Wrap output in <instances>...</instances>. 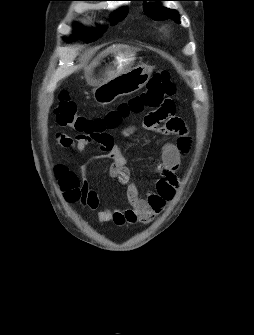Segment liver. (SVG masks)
<instances>
[{
	"mask_svg": "<svg viewBox=\"0 0 254 335\" xmlns=\"http://www.w3.org/2000/svg\"><path fill=\"white\" fill-rule=\"evenodd\" d=\"M125 47V45H113L108 47L107 49H105L104 51H102L91 63L90 67L92 65H94L99 59H101L102 57L107 56L110 53H115L116 51H118L120 48Z\"/></svg>",
	"mask_w": 254,
	"mask_h": 335,
	"instance_id": "liver-1",
	"label": "liver"
}]
</instances>
